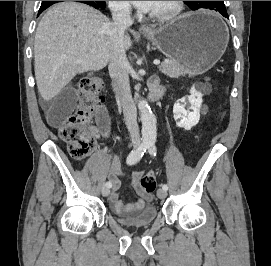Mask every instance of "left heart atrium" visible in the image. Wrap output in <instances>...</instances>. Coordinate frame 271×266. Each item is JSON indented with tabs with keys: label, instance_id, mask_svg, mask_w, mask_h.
<instances>
[{
	"label": "left heart atrium",
	"instance_id": "left-heart-atrium-1",
	"mask_svg": "<svg viewBox=\"0 0 271 266\" xmlns=\"http://www.w3.org/2000/svg\"><path fill=\"white\" fill-rule=\"evenodd\" d=\"M137 8L143 11H151L157 1H131Z\"/></svg>",
	"mask_w": 271,
	"mask_h": 266
}]
</instances>
